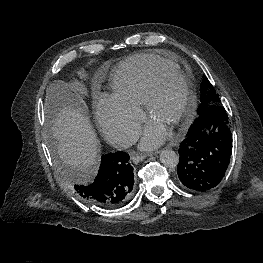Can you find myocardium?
I'll return each mask as SVG.
<instances>
[{
	"label": "myocardium",
	"instance_id": "obj_1",
	"mask_svg": "<svg viewBox=\"0 0 263 263\" xmlns=\"http://www.w3.org/2000/svg\"><path fill=\"white\" fill-rule=\"evenodd\" d=\"M165 77L177 78L183 83L185 88V101L183 108L172 125L173 129L178 131L188 124L195 112L197 104L196 95L193 90L191 81L182 72H180L179 69L163 68L155 72L149 81L146 95L142 105L146 116L151 117L153 103L156 97L158 87Z\"/></svg>",
	"mask_w": 263,
	"mask_h": 263
}]
</instances>
